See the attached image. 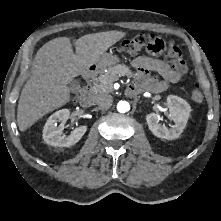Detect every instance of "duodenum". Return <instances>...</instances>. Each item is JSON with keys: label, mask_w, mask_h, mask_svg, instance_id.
<instances>
[{"label": "duodenum", "mask_w": 221, "mask_h": 221, "mask_svg": "<svg viewBox=\"0 0 221 221\" xmlns=\"http://www.w3.org/2000/svg\"><path fill=\"white\" fill-rule=\"evenodd\" d=\"M97 72L98 68L95 65H93L88 69V71L84 75V83L80 93V101L83 105H88L91 102L92 99L91 82L95 77V75L97 74ZM129 92L132 93L133 91L130 89Z\"/></svg>", "instance_id": "410a0bca"}]
</instances>
